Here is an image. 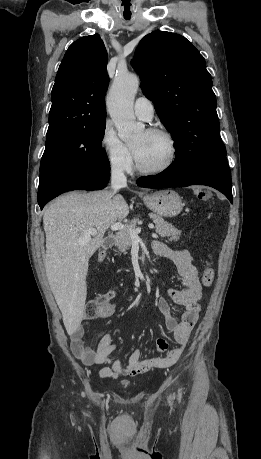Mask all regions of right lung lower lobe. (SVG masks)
<instances>
[{
  "label": "right lung lower lobe",
  "instance_id": "98d812e1",
  "mask_svg": "<svg viewBox=\"0 0 261 459\" xmlns=\"http://www.w3.org/2000/svg\"><path fill=\"white\" fill-rule=\"evenodd\" d=\"M110 173L106 172H78L68 175L53 183L42 195L38 196L41 209L53 198L71 190H100L109 182Z\"/></svg>",
  "mask_w": 261,
  "mask_h": 459
}]
</instances>
